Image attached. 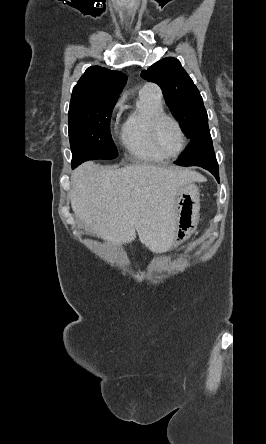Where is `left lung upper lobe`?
Listing matches in <instances>:
<instances>
[{
  "label": "left lung upper lobe",
  "instance_id": "5c2ea615",
  "mask_svg": "<svg viewBox=\"0 0 266 444\" xmlns=\"http://www.w3.org/2000/svg\"><path fill=\"white\" fill-rule=\"evenodd\" d=\"M141 77L162 89L165 101L186 136L195 139L209 131L208 116L199 90L176 58H164Z\"/></svg>",
  "mask_w": 266,
  "mask_h": 444
}]
</instances>
